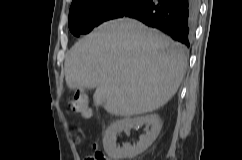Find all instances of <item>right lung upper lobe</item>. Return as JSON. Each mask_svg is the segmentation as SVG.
I'll list each match as a JSON object with an SVG mask.
<instances>
[{
  "instance_id": "cb5924a9",
  "label": "right lung upper lobe",
  "mask_w": 242,
  "mask_h": 160,
  "mask_svg": "<svg viewBox=\"0 0 242 160\" xmlns=\"http://www.w3.org/2000/svg\"><path fill=\"white\" fill-rule=\"evenodd\" d=\"M80 1H83V0H73L71 6H72V5H75V4H77V3H79Z\"/></svg>"
}]
</instances>
